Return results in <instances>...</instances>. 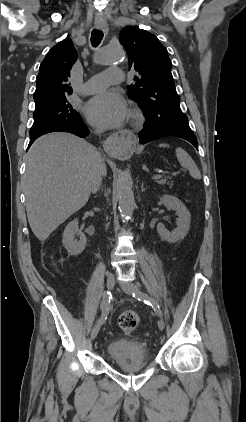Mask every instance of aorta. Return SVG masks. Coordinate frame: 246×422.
Here are the masks:
<instances>
[{
  "instance_id": "762f6f07",
  "label": "aorta",
  "mask_w": 246,
  "mask_h": 422,
  "mask_svg": "<svg viewBox=\"0 0 246 422\" xmlns=\"http://www.w3.org/2000/svg\"><path fill=\"white\" fill-rule=\"evenodd\" d=\"M124 57L125 54L121 47L108 45L99 50L95 57V61L100 64H113L122 62ZM118 196L120 216L121 219L126 222L131 218L135 207L132 184L126 176H121L119 180Z\"/></svg>"
}]
</instances>
